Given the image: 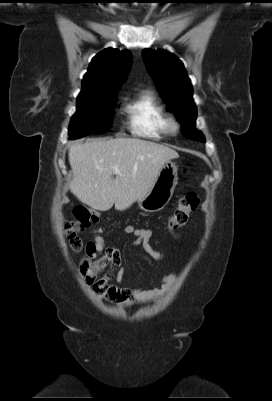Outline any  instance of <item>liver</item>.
I'll list each match as a JSON object with an SVG mask.
<instances>
[{"label":"liver","instance_id":"liver-1","mask_svg":"<svg viewBox=\"0 0 272 401\" xmlns=\"http://www.w3.org/2000/svg\"><path fill=\"white\" fill-rule=\"evenodd\" d=\"M68 157L70 190L81 202L100 211L113 205L123 211L146 195L162 166L179 154L139 138H96L72 145ZM114 166L120 173H114Z\"/></svg>","mask_w":272,"mask_h":401}]
</instances>
